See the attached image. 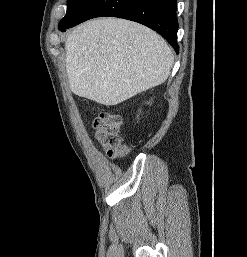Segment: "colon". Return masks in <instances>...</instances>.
Returning a JSON list of instances; mask_svg holds the SVG:
<instances>
[{"mask_svg": "<svg viewBox=\"0 0 247 257\" xmlns=\"http://www.w3.org/2000/svg\"><path fill=\"white\" fill-rule=\"evenodd\" d=\"M121 118L118 115L101 112L94 120L95 138L110 157L126 154L119 132Z\"/></svg>", "mask_w": 247, "mask_h": 257, "instance_id": "obj_1", "label": "colon"}]
</instances>
